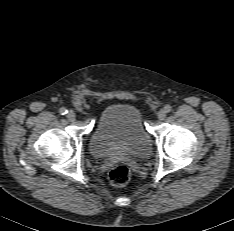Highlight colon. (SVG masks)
<instances>
[{"mask_svg": "<svg viewBox=\"0 0 234 231\" xmlns=\"http://www.w3.org/2000/svg\"><path fill=\"white\" fill-rule=\"evenodd\" d=\"M130 170L124 165L114 167L109 173V181L114 187H122L130 180Z\"/></svg>", "mask_w": 234, "mask_h": 231, "instance_id": "colon-1", "label": "colon"}]
</instances>
